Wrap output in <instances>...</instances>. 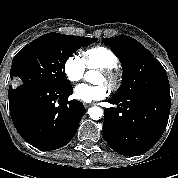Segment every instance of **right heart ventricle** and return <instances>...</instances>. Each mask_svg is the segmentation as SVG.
Masks as SVG:
<instances>
[{
  "mask_svg": "<svg viewBox=\"0 0 178 178\" xmlns=\"http://www.w3.org/2000/svg\"><path fill=\"white\" fill-rule=\"evenodd\" d=\"M82 61L88 69L111 67L117 65V56L115 53L105 46H95L86 49L83 52Z\"/></svg>",
  "mask_w": 178,
  "mask_h": 178,
  "instance_id": "1",
  "label": "right heart ventricle"
}]
</instances>
